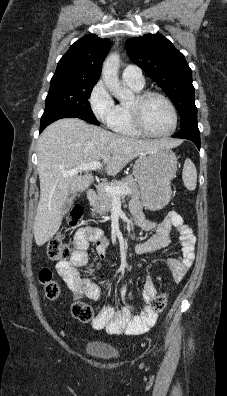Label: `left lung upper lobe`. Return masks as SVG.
Listing matches in <instances>:
<instances>
[{
    "label": "left lung upper lobe",
    "instance_id": "obj_1",
    "mask_svg": "<svg viewBox=\"0 0 227 396\" xmlns=\"http://www.w3.org/2000/svg\"><path fill=\"white\" fill-rule=\"evenodd\" d=\"M130 59L166 93L179 111L181 124L197 117L192 72L182 53L160 34H146L126 41Z\"/></svg>",
    "mask_w": 227,
    "mask_h": 396
}]
</instances>
